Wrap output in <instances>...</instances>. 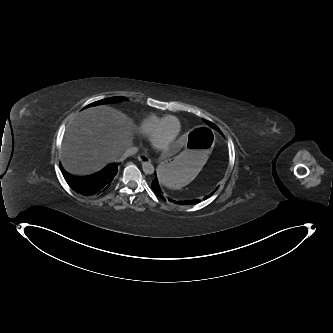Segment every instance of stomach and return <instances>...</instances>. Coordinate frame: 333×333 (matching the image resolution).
I'll return each mask as SVG.
<instances>
[{
    "instance_id": "stomach-1",
    "label": "stomach",
    "mask_w": 333,
    "mask_h": 333,
    "mask_svg": "<svg viewBox=\"0 0 333 333\" xmlns=\"http://www.w3.org/2000/svg\"><path fill=\"white\" fill-rule=\"evenodd\" d=\"M216 139L214 131L207 126L193 130L191 146L178 158L157 164L152 172L154 182L164 189L181 188L198 174L205 160L212 152Z\"/></svg>"
}]
</instances>
